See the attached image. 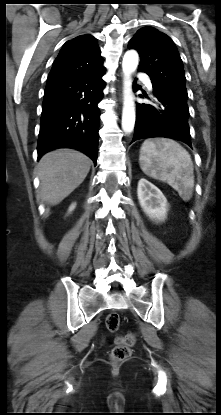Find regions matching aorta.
Masks as SVG:
<instances>
[{
  "mask_svg": "<svg viewBox=\"0 0 221 415\" xmlns=\"http://www.w3.org/2000/svg\"><path fill=\"white\" fill-rule=\"evenodd\" d=\"M139 62L138 53L129 50L125 53L122 61L123 69V110H122V129L126 134L133 131L135 125V104L132 96L131 75L136 70Z\"/></svg>",
  "mask_w": 221,
  "mask_h": 415,
  "instance_id": "aorta-1",
  "label": "aorta"
}]
</instances>
